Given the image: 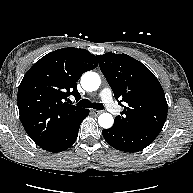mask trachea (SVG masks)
Wrapping results in <instances>:
<instances>
[{
	"instance_id": "obj_1",
	"label": "trachea",
	"mask_w": 193,
	"mask_h": 193,
	"mask_svg": "<svg viewBox=\"0 0 193 193\" xmlns=\"http://www.w3.org/2000/svg\"><path fill=\"white\" fill-rule=\"evenodd\" d=\"M78 106L83 108H93L97 110H102L104 108L102 103H91L88 99H83L79 101Z\"/></svg>"
}]
</instances>
